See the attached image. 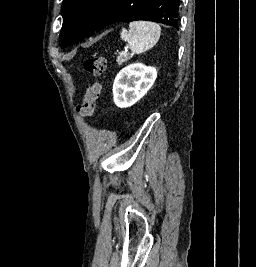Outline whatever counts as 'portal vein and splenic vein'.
<instances>
[{
	"label": "portal vein and splenic vein",
	"mask_w": 256,
	"mask_h": 267,
	"mask_svg": "<svg viewBox=\"0 0 256 267\" xmlns=\"http://www.w3.org/2000/svg\"><path fill=\"white\" fill-rule=\"evenodd\" d=\"M130 52H133V49H130ZM130 52H127V55H130Z\"/></svg>",
	"instance_id": "18ae733b"
}]
</instances>
